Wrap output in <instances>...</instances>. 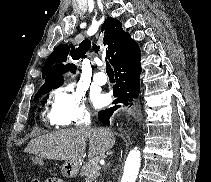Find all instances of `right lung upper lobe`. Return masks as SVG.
<instances>
[{"label": "right lung upper lobe", "instance_id": "right-lung-upper-lobe-1", "mask_svg": "<svg viewBox=\"0 0 211 182\" xmlns=\"http://www.w3.org/2000/svg\"><path fill=\"white\" fill-rule=\"evenodd\" d=\"M101 31H104L103 45L106 57L114 67L131 36L122 29L121 22L115 18H107L102 25ZM90 48L91 42L89 40L82 41L77 49H74L73 45L68 46L67 44L57 46L44 63L42 77H45L46 82L38 90L37 94L61 86L63 72L70 70L74 73L76 70L74 64H63L67 57L71 55L73 59L79 58L80 55L84 56Z\"/></svg>", "mask_w": 211, "mask_h": 182}]
</instances>
